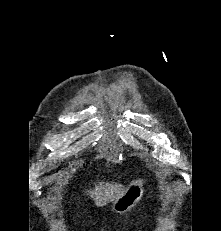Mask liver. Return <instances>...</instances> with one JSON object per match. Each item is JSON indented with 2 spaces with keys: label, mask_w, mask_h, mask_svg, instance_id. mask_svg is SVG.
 <instances>
[{
  "label": "liver",
  "mask_w": 221,
  "mask_h": 231,
  "mask_svg": "<svg viewBox=\"0 0 221 231\" xmlns=\"http://www.w3.org/2000/svg\"><path fill=\"white\" fill-rule=\"evenodd\" d=\"M126 189L124 185L119 183H105L95 186L92 191H89V195L97 207H102L121 197Z\"/></svg>",
  "instance_id": "obj_1"
}]
</instances>
